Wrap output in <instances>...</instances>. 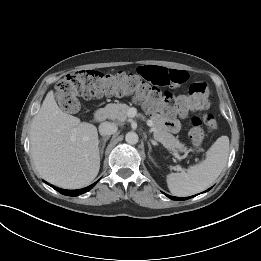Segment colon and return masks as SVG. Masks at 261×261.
I'll use <instances>...</instances> for the list:
<instances>
[{"mask_svg":"<svg viewBox=\"0 0 261 261\" xmlns=\"http://www.w3.org/2000/svg\"><path fill=\"white\" fill-rule=\"evenodd\" d=\"M132 95L142 100L149 111L162 112L168 116L185 115L194 110L209 108L210 87L204 81L193 82L187 94L161 91L148 85L138 75L116 71L80 70L60 79L56 86V99L66 112L75 113L80 108L79 98L92 99L105 96ZM215 130L217 121L212 113L204 112L192 119L189 136L196 146L204 139L202 126Z\"/></svg>","mask_w":261,"mask_h":261,"instance_id":"colon-1","label":"colon"}]
</instances>
